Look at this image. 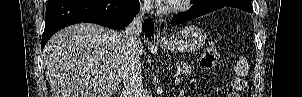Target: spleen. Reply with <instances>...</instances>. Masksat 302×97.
<instances>
[{
  "label": "spleen",
  "instance_id": "spleen-1",
  "mask_svg": "<svg viewBox=\"0 0 302 97\" xmlns=\"http://www.w3.org/2000/svg\"><path fill=\"white\" fill-rule=\"evenodd\" d=\"M248 65L245 59H241L238 64L236 65L235 71L240 76H247L248 75Z\"/></svg>",
  "mask_w": 302,
  "mask_h": 97
}]
</instances>
